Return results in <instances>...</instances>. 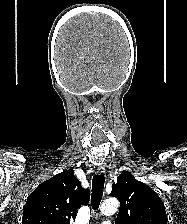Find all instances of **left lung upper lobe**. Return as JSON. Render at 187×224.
I'll return each instance as SVG.
<instances>
[{"instance_id":"left-lung-upper-lobe-1","label":"left lung upper lobe","mask_w":187,"mask_h":224,"mask_svg":"<svg viewBox=\"0 0 187 224\" xmlns=\"http://www.w3.org/2000/svg\"><path fill=\"white\" fill-rule=\"evenodd\" d=\"M110 195L120 200L116 224H167L165 207L158 194L128 171L118 176Z\"/></svg>"}]
</instances>
